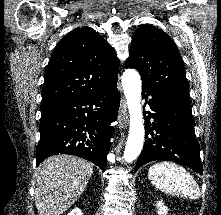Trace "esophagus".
Masks as SVG:
<instances>
[{
  "label": "esophagus",
  "instance_id": "34e87169",
  "mask_svg": "<svg viewBox=\"0 0 221 215\" xmlns=\"http://www.w3.org/2000/svg\"><path fill=\"white\" fill-rule=\"evenodd\" d=\"M118 119H119L120 128L125 127L128 121V115H127V110H126V104L124 101L122 102Z\"/></svg>",
  "mask_w": 221,
  "mask_h": 215
}]
</instances>
